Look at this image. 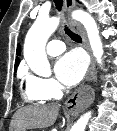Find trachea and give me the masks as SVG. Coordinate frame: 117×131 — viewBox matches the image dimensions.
<instances>
[{
	"instance_id": "3493384b",
	"label": "trachea",
	"mask_w": 117,
	"mask_h": 131,
	"mask_svg": "<svg viewBox=\"0 0 117 131\" xmlns=\"http://www.w3.org/2000/svg\"><path fill=\"white\" fill-rule=\"evenodd\" d=\"M53 1H54L55 5H56V8H57L59 11H61L62 5H63V0H53ZM64 30H65V33H66L72 40H74L75 42H81V41H82V38H81L78 34L72 32L66 25H65V27H64Z\"/></svg>"
}]
</instances>
